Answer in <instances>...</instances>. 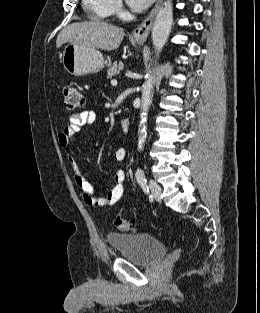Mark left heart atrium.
Returning <instances> with one entry per match:
<instances>
[{"label":"left heart atrium","mask_w":260,"mask_h":313,"mask_svg":"<svg viewBox=\"0 0 260 313\" xmlns=\"http://www.w3.org/2000/svg\"><path fill=\"white\" fill-rule=\"evenodd\" d=\"M128 5L135 11L141 12L147 9L154 0H126Z\"/></svg>","instance_id":"39dd6f15"}]
</instances>
